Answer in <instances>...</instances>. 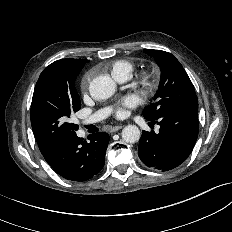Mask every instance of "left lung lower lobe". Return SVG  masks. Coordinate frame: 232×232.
I'll list each match as a JSON object with an SVG mask.
<instances>
[{
	"label": "left lung lower lobe",
	"mask_w": 232,
	"mask_h": 232,
	"mask_svg": "<svg viewBox=\"0 0 232 232\" xmlns=\"http://www.w3.org/2000/svg\"><path fill=\"white\" fill-rule=\"evenodd\" d=\"M150 121L160 125L159 133L142 132L139 158L155 170L169 171L176 168L188 158L197 140L198 111L180 107Z\"/></svg>",
	"instance_id": "left-lung-lower-lobe-1"
}]
</instances>
